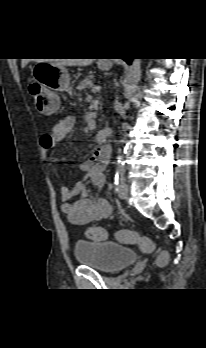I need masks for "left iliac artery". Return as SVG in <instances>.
I'll return each mask as SVG.
<instances>
[{"label": "left iliac artery", "mask_w": 206, "mask_h": 348, "mask_svg": "<svg viewBox=\"0 0 206 348\" xmlns=\"http://www.w3.org/2000/svg\"><path fill=\"white\" fill-rule=\"evenodd\" d=\"M125 171L122 168H118L114 178L115 191L118 192L119 189L125 184Z\"/></svg>", "instance_id": "left-iliac-artery-1"}]
</instances>
